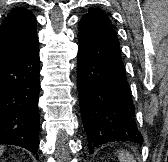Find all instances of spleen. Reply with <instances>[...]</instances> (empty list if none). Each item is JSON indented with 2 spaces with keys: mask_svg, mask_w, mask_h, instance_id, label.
Segmentation results:
<instances>
[{
  "mask_svg": "<svg viewBox=\"0 0 168 162\" xmlns=\"http://www.w3.org/2000/svg\"><path fill=\"white\" fill-rule=\"evenodd\" d=\"M118 157L120 162H136L134 157L128 151L125 150L119 151Z\"/></svg>",
  "mask_w": 168,
  "mask_h": 162,
  "instance_id": "1",
  "label": "spleen"
}]
</instances>
